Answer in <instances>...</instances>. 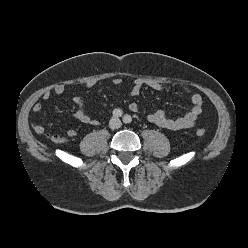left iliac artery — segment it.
<instances>
[{
  "label": "left iliac artery",
  "instance_id": "1",
  "mask_svg": "<svg viewBox=\"0 0 248 248\" xmlns=\"http://www.w3.org/2000/svg\"><path fill=\"white\" fill-rule=\"evenodd\" d=\"M131 121H132V118H131L130 115H125V116L123 117V122H124V123L129 124V123H131Z\"/></svg>",
  "mask_w": 248,
  "mask_h": 248
}]
</instances>
